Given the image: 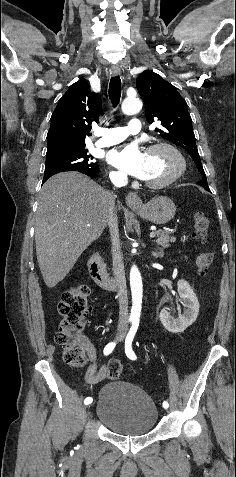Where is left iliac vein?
<instances>
[{"mask_svg":"<svg viewBox=\"0 0 236 477\" xmlns=\"http://www.w3.org/2000/svg\"><path fill=\"white\" fill-rule=\"evenodd\" d=\"M162 412H163L164 414H168V413H169V409H168L167 407H164V408L162 409Z\"/></svg>","mask_w":236,"mask_h":477,"instance_id":"1","label":"left iliac vein"}]
</instances>
